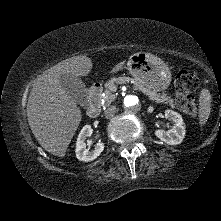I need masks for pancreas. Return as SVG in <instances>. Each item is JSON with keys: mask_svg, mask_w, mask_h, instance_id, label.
<instances>
[{"mask_svg": "<svg viewBox=\"0 0 221 221\" xmlns=\"http://www.w3.org/2000/svg\"><path fill=\"white\" fill-rule=\"evenodd\" d=\"M128 82L133 83L134 88L141 91L144 95L148 96L151 101H155L156 103H165L170 105L171 107H174V100L171 97L167 96V94H160L152 91L130 77L112 78L105 83V95L103 97L105 105H109L115 100L116 95L114 94V92H116V84Z\"/></svg>", "mask_w": 221, "mask_h": 221, "instance_id": "1", "label": "pancreas"}]
</instances>
